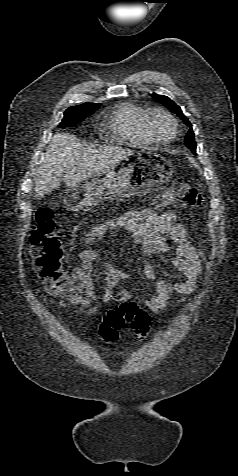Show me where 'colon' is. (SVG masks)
Listing matches in <instances>:
<instances>
[{
  "label": "colon",
  "mask_w": 238,
  "mask_h": 476,
  "mask_svg": "<svg viewBox=\"0 0 238 476\" xmlns=\"http://www.w3.org/2000/svg\"><path fill=\"white\" fill-rule=\"evenodd\" d=\"M202 200L199 189L183 178H176L159 205L195 208L201 205ZM30 243L35 269L49 290H70L80 284L81 278L77 273L63 268V249L57 223L49 208L36 210ZM125 325H130L137 338H143L149 331L150 318L135 303L125 302L107 313L101 332L106 339L114 340Z\"/></svg>",
  "instance_id": "1"
}]
</instances>
